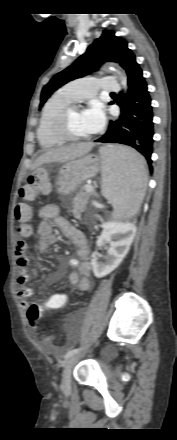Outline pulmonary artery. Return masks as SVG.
<instances>
[{
	"label": "pulmonary artery",
	"mask_w": 177,
	"mask_h": 440,
	"mask_svg": "<svg viewBox=\"0 0 177 440\" xmlns=\"http://www.w3.org/2000/svg\"><path fill=\"white\" fill-rule=\"evenodd\" d=\"M100 89L105 92H119L120 87L112 76L83 77L65 86V90L75 101L91 98Z\"/></svg>",
	"instance_id": "pulmonary-artery-1"
}]
</instances>
